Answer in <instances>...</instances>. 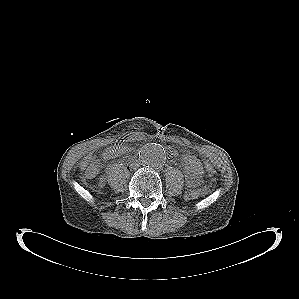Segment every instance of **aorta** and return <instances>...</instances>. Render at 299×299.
I'll list each match as a JSON object with an SVG mask.
<instances>
[{
    "instance_id": "obj_1",
    "label": "aorta",
    "mask_w": 299,
    "mask_h": 299,
    "mask_svg": "<svg viewBox=\"0 0 299 299\" xmlns=\"http://www.w3.org/2000/svg\"><path fill=\"white\" fill-rule=\"evenodd\" d=\"M141 163L150 169H156L163 165L166 159L165 150L159 144L148 143L139 151Z\"/></svg>"
}]
</instances>
